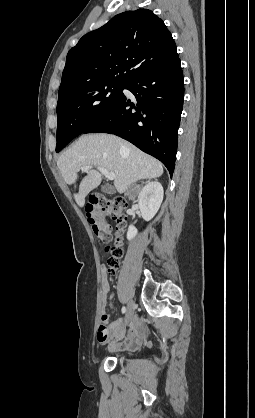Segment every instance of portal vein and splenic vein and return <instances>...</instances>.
Instances as JSON below:
<instances>
[{
  "label": "portal vein and splenic vein",
  "instance_id": "18ae733b",
  "mask_svg": "<svg viewBox=\"0 0 255 418\" xmlns=\"http://www.w3.org/2000/svg\"><path fill=\"white\" fill-rule=\"evenodd\" d=\"M93 168V166L92 165H86V166H83V167H81V170L82 171H84V172H87V171H89L90 169H92ZM97 169L107 178V179H109V180H114L115 179V174L114 173H111V172H109V171H107L106 169H104V168H101V167H97Z\"/></svg>",
  "mask_w": 255,
  "mask_h": 418
}]
</instances>
